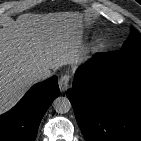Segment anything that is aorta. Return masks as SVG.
<instances>
[{
	"label": "aorta",
	"mask_w": 141,
	"mask_h": 141,
	"mask_svg": "<svg viewBox=\"0 0 141 141\" xmlns=\"http://www.w3.org/2000/svg\"><path fill=\"white\" fill-rule=\"evenodd\" d=\"M55 111L59 114H65L70 111L72 105L67 97H58L53 102Z\"/></svg>",
	"instance_id": "1"
}]
</instances>
